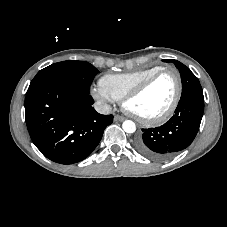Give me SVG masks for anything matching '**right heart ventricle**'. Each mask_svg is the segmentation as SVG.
<instances>
[{
	"label": "right heart ventricle",
	"mask_w": 227,
	"mask_h": 227,
	"mask_svg": "<svg viewBox=\"0 0 227 227\" xmlns=\"http://www.w3.org/2000/svg\"><path fill=\"white\" fill-rule=\"evenodd\" d=\"M161 68L152 66L127 73L106 74L100 78L99 87L112 99L121 100L129 90Z\"/></svg>",
	"instance_id": "e07e8e85"
}]
</instances>
